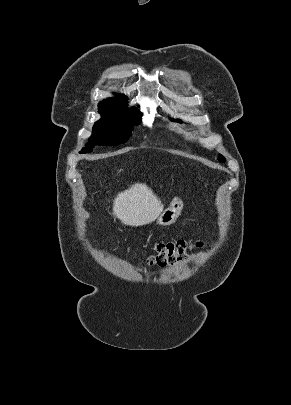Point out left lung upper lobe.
I'll return each instance as SVG.
<instances>
[{
	"label": "left lung upper lobe",
	"instance_id": "obj_1",
	"mask_svg": "<svg viewBox=\"0 0 291 405\" xmlns=\"http://www.w3.org/2000/svg\"><path fill=\"white\" fill-rule=\"evenodd\" d=\"M218 159H219L220 162H224V161H225V158H224L221 154H219V158H218Z\"/></svg>",
	"mask_w": 291,
	"mask_h": 405
}]
</instances>
